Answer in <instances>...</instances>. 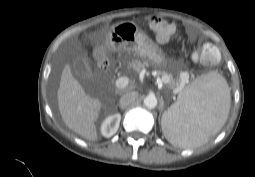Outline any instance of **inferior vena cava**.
Listing matches in <instances>:
<instances>
[{"mask_svg": "<svg viewBox=\"0 0 255 177\" xmlns=\"http://www.w3.org/2000/svg\"><path fill=\"white\" fill-rule=\"evenodd\" d=\"M138 97L137 92H127L120 98V106L127 107L131 105Z\"/></svg>", "mask_w": 255, "mask_h": 177, "instance_id": "602c4592", "label": "inferior vena cava"}]
</instances>
